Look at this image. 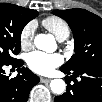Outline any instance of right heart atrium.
Returning a JSON list of instances; mask_svg holds the SVG:
<instances>
[{"mask_svg": "<svg viewBox=\"0 0 102 102\" xmlns=\"http://www.w3.org/2000/svg\"><path fill=\"white\" fill-rule=\"evenodd\" d=\"M35 33V23L28 22L20 33V43L22 47L29 48L32 45Z\"/></svg>", "mask_w": 102, "mask_h": 102, "instance_id": "1", "label": "right heart atrium"}]
</instances>
